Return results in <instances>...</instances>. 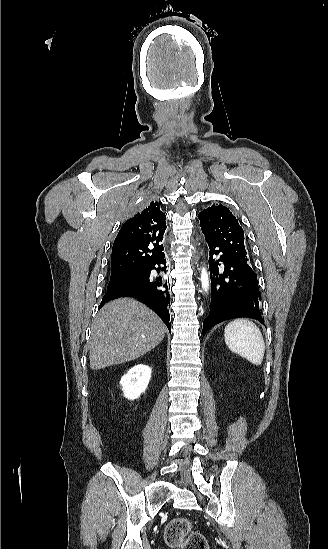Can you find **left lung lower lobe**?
<instances>
[{
  "instance_id": "1",
  "label": "left lung lower lobe",
  "mask_w": 328,
  "mask_h": 549,
  "mask_svg": "<svg viewBox=\"0 0 328 549\" xmlns=\"http://www.w3.org/2000/svg\"><path fill=\"white\" fill-rule=\"evenodd\" d=\"M209 245V269L212 293L210 313L203 322V334L213 325L227 319L247 317L264 324L259 304L261 294L257 277L245 262ZM218 255V259L213 257ZM219 262H223L221 268Z\"/></svg>"
}]
</instances>
